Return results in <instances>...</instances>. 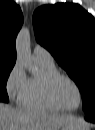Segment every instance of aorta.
I'll use <instances>...</instances> for the list:
<instances>
[{"mask_svg": "<svg viewBox=\"0 0 95 130\" xmlns=\"http://www.w3.org/2000/svg\"><path fill=\"white\" fill-rule=\"evenodd\" d=\"M16 54L17 59L23 62L28 70L33 71L34 63L31 54L30 32L27 28L21 29L17 36Z\"/></svg>", "mask_w": 95, "mask_h": 130, "instance_id": "1", "label": "aorta"}]
</instances>
